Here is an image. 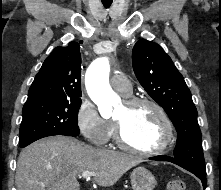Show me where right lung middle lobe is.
I'll return each instance as SVG.
<instances>
[{"label":"right lung middle lobe","mask_w":221,"mask_h":190,"mask_svg":"<svg viewBox=\"0 0 221 190\" xmlns=\"http://www.w3.org/2000/svg\"><path fill=\"white\" fill-rule=\"evenodd\" d=\"M81 100L47 101L24 105L20 126L21 148L47 136L80 134L77 123Z\"/></svg>","instance_id":"1"}]
</instances>
